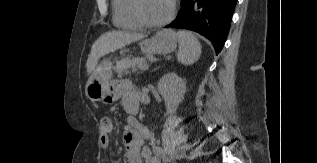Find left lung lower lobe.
Returning <instances> with one entry per match:
<instances>
[{
    "instance_id": "left-lung-lower-lobe-1",
    "label": "left lung lower lobe",
    "mask_w": 317,
    "mask_h": 163,
    "mask_svg": "<svg viewBox=\"0 0 317 163\" xmlns=\"http://www.w3.org/2000/svg\"><path fill=\"white\" fill-rule=\"evenodd\" d=\"M237 0H181V11L166 28H185L212 42L219 53L226 41Z\"/></svg>"
}]
</instances>
